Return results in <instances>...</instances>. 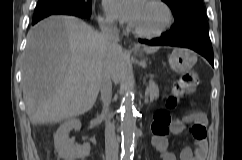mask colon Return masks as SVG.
<instances>
[{
  "mask_svg": "<svg viewBox=\"0 0 242 160\" xmlns=\"http://www.w3.org/2000/svg\"><path fill=\"white\" fill-rule=\"evenodd\" d=\"M198 83V75L195 72L187 73L177 79L172 87V91L166 100L169 108H174L178 105L180 99L193 91ZM171 122V116L167 111H158L154 116L152 124V131L155 133L167 132L168 126ZM193 131L196 137L202 136V130L199 125L195 126Z\"/></svg>",
  "mask_w": 242,
  "mask_h": 160,
  "instance_id": "colon-1",
  "label": "colon"
}]
</instances>
